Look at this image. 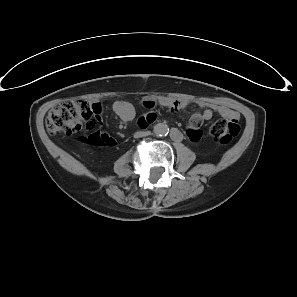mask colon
<instances>
[{"instance_id": "obj_1", "label": "colon", "mask_w": 297, "mask_h": 297, "mask_svg": "<svg viewBox=\"0 0 297 297\" xmlns=\"http://www.w3.org/2000/svg\"><path fill=\"white\" fill-rule=\"evenodd\" d=\"M102 107L99 103L69 100L56 105L48 114L46 127L51 134L71 135L81 129H93L100 121ZM240 132L237 117L221 118L209 130L211 137L220 144H228ZM201 138V137H200ZM86 142L95 146H113L115 141L106 133L95 131Z\"/></svg>"}]
</instances>
